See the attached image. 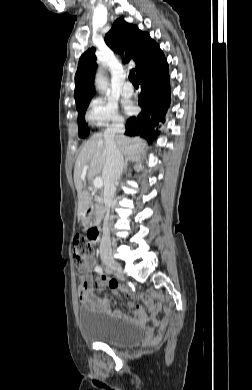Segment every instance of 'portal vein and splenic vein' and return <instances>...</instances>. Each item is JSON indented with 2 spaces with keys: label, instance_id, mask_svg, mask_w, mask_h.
Masks as SVG:
<instances>
[{
  "label": "portal vein and splenic vein",
  "instance_id": "18ae733b",
  "mask_svg": "<svg viewBox=\"0 0 252 390\" xmlns=\"http://www.w3.org/2000/svg\"><path fill=\"white\" fill-rule=\"evenodd\" d=\"M88 168H89L88 166H85V167H84V171H86ZM93 184H94V187H95V188H101V187L103 186V180H102V178L96 177V178L94 179Z\"/></svg>",
  "mask_w": 252,
  "mask_h": 390
}]
</instances>
